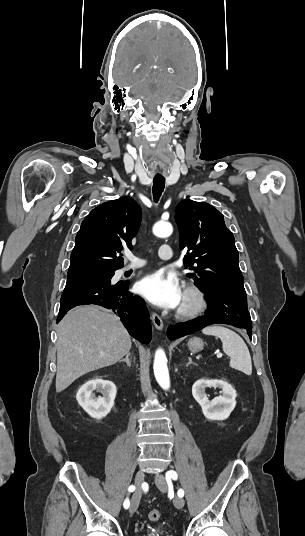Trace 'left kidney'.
<instances>
[{
  "instance_id": "5707ae66",
  "label": "left kidney",
  "mask_w": 305,
  "mask_h": 536,
  "mask_svg": "<svg viewBox=\"0 0 305 536\" xmlns=\"http://www.w3.org/2000/svg\"><path fill=\"white\" fill-rule=\"evenodd\" d=\"M205 388H221L223 396L208 400ZM192 396L200 404L208 420H226L236 406V390L225 380H197L192 386Z\"/></svg>"
}]
</instances>
